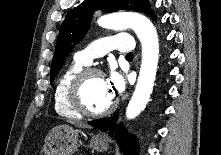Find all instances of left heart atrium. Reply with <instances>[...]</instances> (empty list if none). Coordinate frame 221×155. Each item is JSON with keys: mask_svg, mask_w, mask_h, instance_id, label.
I'll return each mask as SVG.
<instances>
[{"mask_svg": "<svg viewBox=\"0 0 221 155\" xmlns=\"http://www.w3.org/2000/svg\"><path fill=\"white\" fill-rule=\"evenodd\" d=\"M106 82L110 92L114 97L120 94L125 88L123 77L115 71L110 73V75L106 78Z\"/></svg>", "mask_w": 221, "mask_h": 155, "instance_id": "left-heart-atrium-1", "label": "left heart atrium"}]
</instances>
